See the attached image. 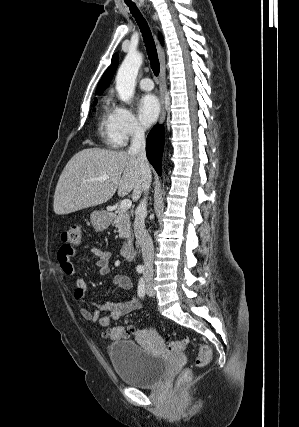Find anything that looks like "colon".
I'll return each instance as SVG.
<instances>
[{
    "mask_svg": "<svg viewBox=\"0 0 299 427\" xmlns=\"http://www.w3.org/2000/svg\"><path fill=\"white\" fill-rule=\"evenodd\" d=\"M62 239L64 242L68 243L71 246H77L81 243L82 234L80 226H73L65 230L62 234ZM132 332L130 326H116L111 328L108 331V335L114 339H121L127 337ZM188 341L183 339L180 341H171L168 345V348L172 351L182 352ZM212 358V350L208 345L202 344L199 347V352L196 357V365L198 367H204L209 364ZM192 377V372L190 369H185L179 375L176 385L179 389H183L189 383Z\"/></svg>",
    "mask_w": 299,
    "mask_h": 427,
    "instance_id": "5ec220e1",
    "label": "colon"
}]
</instances>
